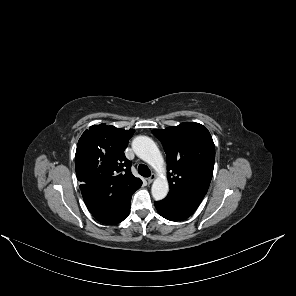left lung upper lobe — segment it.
<instances>
[{"mask_svg": "<svg viewBox=\"0 0 296 296\" xmlns=\"http://www.w3.org/2000/svg\"><path fill=\"white\" fill-rule=\"evenodd\" d=\"M167 155L170 191L164 200L199 205L213 175L215 146L209 131L199 123L185 122L153 130Z\"/></svg>", "mask_w": 296, "mask_h": 296, "instance_id": "5c2ea615", "label": "left lung upper lobe"}]
</instances>
